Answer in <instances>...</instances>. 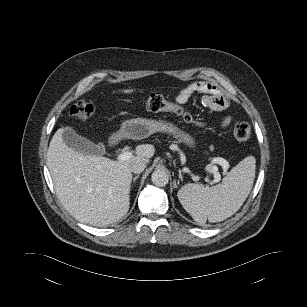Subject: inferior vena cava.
I'll return each instance as SVG.
<instances>
[{
    "label": "inferior vena cava",
    "instance_id": "inferior-vena-cava-1",
    "mask_svg": "<svg viewBox=\"0 0 307 307\" xmlns=\"http://www.w3.org/2000/svg\"><path fill=\"white\" fill-rule=\"evenodd\" d=\"M145 167L146 163L143 160H136L130 164L129 169L131 172L139 174L144 171Z\"/></svg>",
    "mask_w": 307,
    "mask_h": 307
}]
</instances>
